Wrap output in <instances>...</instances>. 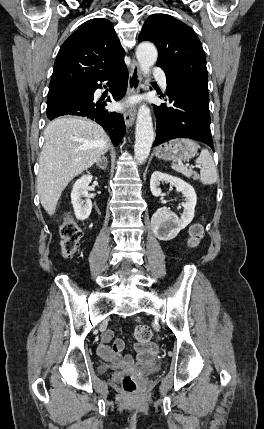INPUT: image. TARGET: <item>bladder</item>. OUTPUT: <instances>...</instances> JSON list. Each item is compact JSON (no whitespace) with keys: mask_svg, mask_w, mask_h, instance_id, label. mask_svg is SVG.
<instances>
[{"mask_svg":"<svg viewBox=\"0 0 264 429\" xmlns=\"http://www.w3.org/2000/svg\"><path fill=\"white\" fill-rule=\"evenodd\" d=\"M110 368L108 366H104L102 368L103 372H107ZM161 366L158 363H150L147 365H144L139 368L140 373L143 375H152L160 371Z\"/></svg>","mask_w":264,"mask_h":429,"instance_id":"obj_1","label":"bladder"}]
</instances>
